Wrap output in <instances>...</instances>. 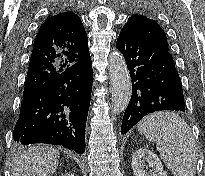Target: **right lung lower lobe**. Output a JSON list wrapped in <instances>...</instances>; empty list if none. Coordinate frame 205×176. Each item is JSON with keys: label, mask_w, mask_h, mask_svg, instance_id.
I'll use <instances>...</instances> for the list:
<instances>
[{"label": "right lung lower lobe", "mask_w": 205, "mask_h": 176, "mask_svg": "<svg viewBox=\"0 0 205 176\" xmlns=\"http://www.w3.org/2000/svg\"><path fill=\"white\" fill-rule=\"evenodd\" d=\"M92 79L89 54L23 96L14 141L61 145L84 153Z\"/></svg>", "instance_id": "1"}]
</instances>
